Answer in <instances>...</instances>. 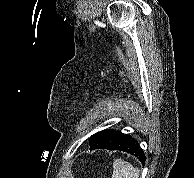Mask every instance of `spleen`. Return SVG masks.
<instances>
[{"mask_svg":"<svg viewBox=\"0 0 194 178\" xmlns=\"http://www.w3.org/2000/svg\"><path fill=\"white\" fill-rule=\"evenodd\" d=\"M140 171L129 162L116 159L113 162L112 178H139Z\"/></svg>","mask_w":194,"mask_h":178,"instance_id":"3e777b00","label":"spleen"}]
</instances>
